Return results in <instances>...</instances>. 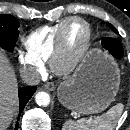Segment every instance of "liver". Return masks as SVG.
I'll use <instances>...</instances> for the list:
<instances>
[{
    "mask_svg": "<svg viewBox=\"0 0 130 130\" xmlns=\"http://www.w3.org/2000/svg\"><path fill=\"white\" fill-rule=\"evenodd\" d=\"M17 79L7 57L0 50V130L9 127L18 100Z\"/></svg>",
    "mask_w": 130,
    "mask_h": 130,
    "instance_id": "1",
    "label": "liver"
}]
</instances>
